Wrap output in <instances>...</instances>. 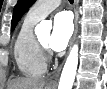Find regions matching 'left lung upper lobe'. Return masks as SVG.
I'll return each mask as SVG.
<instances>
[{"instance_id":"obj_1","label":"left lung upper lobe","mask_w":107,"mask_h":89,"mask_svg":"<svg viewBox=\"0 0 107 89\" xmlns=\"http://www.w3.org/2000/svg\"><path fill=\"white\" fill-rule=\"evenodd\" d=\"M35 0H18L13 11V18L11 22V31L14 30L18 21L21 19L23 14L33 5Z\"/></svg>"}]
</instances>
